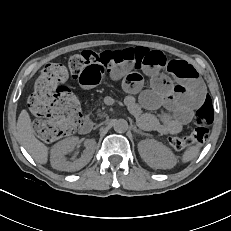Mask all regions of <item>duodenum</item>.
<instances>
[{
	"label": "duodenum",
	"mask_w": 231,
	"mask_h": 231,
	"mask_svg": "<svg viewBox=\"0 0 231 231\" xmlns=\"http://www.w3.org/2000/svg\"><path fill=\"white\" fill-rule=\"evenodd\" d=\"M93 128V122L91 119L86 118L83 120V122L81 123L80 127H79V132L81 134H87L89 133Z\"/></svg>",
	"instance_id": "1"
}]
</instances>
